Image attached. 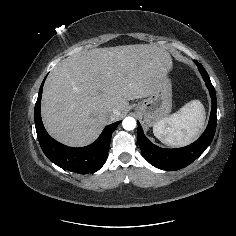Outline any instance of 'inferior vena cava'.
I'll list each match as a JSON object with an SVG mask.
<instances>
[{
	"instance_id": "inferior-vena-cava-1",
	"label": "inferior vena cava",
	"mask_w": 236,
	"mask_h": 236,
	"mask_svg": "<svg viewBox=\"0 0 236 236\" xmlns=\"http://www.w3.org/2000/svg\"><path fill=\"white\" fill-rule=\"evenodd\" d=\"M116 113H117V111H116V110H113V111H112V114H116Z\"/></svg>"
}]
</instances>
